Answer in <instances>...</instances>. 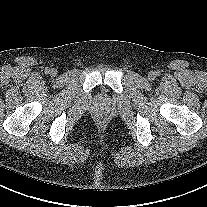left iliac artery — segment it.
<instances>
[{"label": "left iliac artery", "instance_id": "44dca946", "mask_svg": "<svg viewBox=\"0 0 207 207\" xmlns=\"http://www.w3.org/2000/svg\"><path fill=\"white\" fill-rule=\"evenodd\" d=\"M155 74H156V76H160L161 73H160V71H156Z\"/></svg>", "mask_w": 207, "mask_h": 207}]
</instances>
